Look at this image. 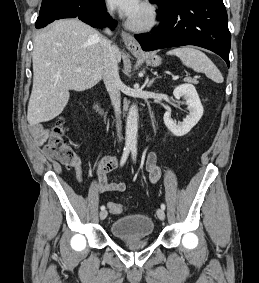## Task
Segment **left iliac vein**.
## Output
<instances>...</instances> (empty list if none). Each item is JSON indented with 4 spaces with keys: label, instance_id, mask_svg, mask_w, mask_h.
Listing matches in <instances>:
<instances>
[{
    "label": "left iliac vein",
    "instance_id": "4c4485c4",
    "mask_svg": "<svg viewBox=\"0 0 259 283\" xmlns=\"http://www.w3.org/2000/svg\"><path fill=\"white\" fill-rule=\"evenodd\" d=\"M157 216L160 220L165 219V212L162 208L157 209Z\"/></svg>",
    "mask_w": 259,
    "mask_h": 283
}]
</instances>
